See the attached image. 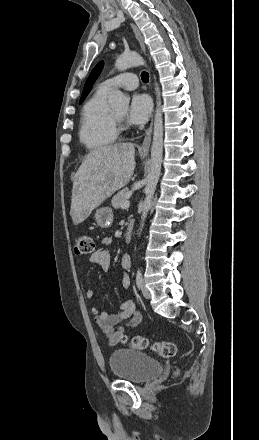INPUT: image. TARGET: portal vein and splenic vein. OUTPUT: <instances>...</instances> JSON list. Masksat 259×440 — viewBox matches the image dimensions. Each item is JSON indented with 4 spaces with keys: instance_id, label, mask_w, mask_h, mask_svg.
Segmentation results:
<instances>
[{
    "instance_id": "portal-vein-and-splenic-vein-1",
    "label": "portal vein and splenic vein",
    "mask_w": 259,
    "mask_h": 440,
    "mask_svg": "<svg viewBox=\"0 0 259 440\" xmlns=\"http://www.w3.org/2000/svg\"><path fill=\"white\" fill-rule=\"evenodd\" d=\"M129 206H130L129 201H126V202H124V203L121 204V208H122V209H127V208H129Z\"/></svg>"
}]
</instances>
